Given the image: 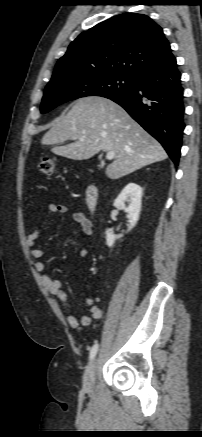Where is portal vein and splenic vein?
Masks as SVG:
<instances>
[{
  "label": "portal vein and splenic vein",
  "mask_w": 202,
  "mask_h": 437,
  "mask_svg": "<svg viewBox=\"0 0 202 437\" xmlns=\"http://www.w3.org/2000/svg\"><path fill=\"white\" fill-rule=\"evenodd\" d=\"M79 140L83 141L84 138H80ZM114 157H115V153L113 151L107 152V154H106V159L107 160H112V159H114Z\"/></svg>",
  "instance_id": "18ae733b"
}]
</instances>
